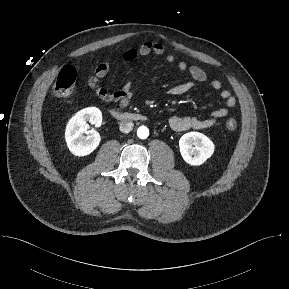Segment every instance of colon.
<instances>
[{
	"label": "colon",
	"mask_w": 289,
	"mask_h": 289,
	"mask_svg": "<svg viewBox=\"0 0 289 289\" xmlns=\"http://www.w3.org/2000/svg\"><path fill=\"white\" fill-rule=\"evenodd\" d=\"M77 73L71 66H65L59 73L53 86V94L57 98H66L73 94L76 84ZM226 129L233 132L237 128V121L230 117L225 123Z\"/></svg>",
	"instance_id": "5ec220e1"
}]
</instances>
